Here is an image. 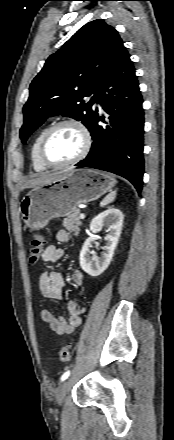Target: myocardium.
<instances>
[{"mask_svg":"<svg viewBox=\"0 0 174 440\" xmlns=\"http://www.w3.org/2000/svg\"><path fill=\"white\" fill-rule=\"evenodd\" d=\"M64 125H71L76 127L79 132L82 135V139H83V143H82V147L80 152L71 160L64 162V163H59V164H55L50 162L47 157H46V145L47 142L51 136V134L59 127L64 126ZM92 145V137H91V133L89 131V129L87 128V126L79 119L77 118H64L61 119L57 122H55L54 124H52L47 131L45 132V134L42 137L41 143H40V147H39V157L40 160L42 161V163L47 166L48 168H64L67 166H71L74 165L78 162H80L82 159H84L87 154L90 151Z\"/></svg>","mask_w":174,"mask_h":440,"instance_id":"myocardium-1","label":"myocardium"}]
</instances>
